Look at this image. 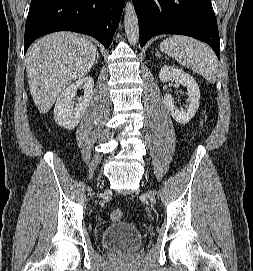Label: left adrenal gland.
Listing matches in <instances>:
<instances>
[{
    "label": "left adrenal gland",
    "instance_id": "1",
    "mask_svg": "<svg viewBox=\"0 0 253 271\" xmlns=\"http://www.w3.org/2000/svg\"><path fill=\"white\" fill-rule=\"evenodd\" d=\"M156 56H161V54L157 50H156Z\"/></svg>",
    "mask_w": 253,
    "mask_h": 271
}]
</instances>
